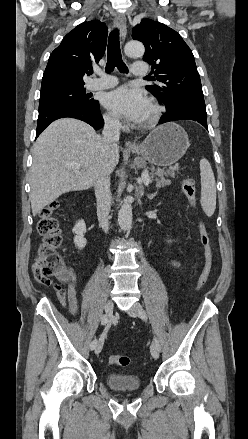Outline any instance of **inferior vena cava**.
I'll list each match as a JSON object with an SVG mask.
<instances>
[{
  "instance_id": "inferior-vena-cava-1",
  "label": "inferior vena cava",
  "mask_w": 248,
  "mask_h": 439,
  "mask_svg": "<svg viewBox=\"0 0 248 439\" xmlns=\"http://www.w3.org/2000/svg\"><path fill=\"white\" fill-rule=\"evenodd\" d=\"M120 121L115 117H106L103 129V142L108 148H117L120 137ZM97 200V216L105 233L109 230V212L111 207L110 172H102L94 183Z\"/></svg>"
}]
</instances>
